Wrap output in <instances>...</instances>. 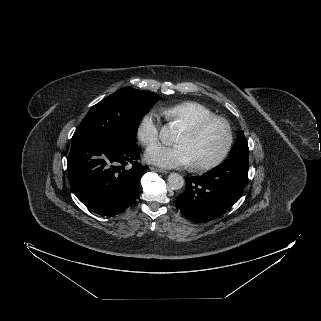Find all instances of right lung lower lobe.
I'll list each match as a JSON object with an SVG mask.
<instances>
[{
    "instance_id": "obj_1",
    "label": "right lung lower lobe",
    "mask_w": 321,
    "mask_h": 321,
    "mask_svg": "<svg viewBox=\"0 0 321 321\" xmlns=\"http://www.w3.org/2000/svg\"><path fill=\"white\" fill-rule=\"evenodd\" d=\"M136 143L79 139L72 141L67 168L78 199L93 212L114 216L136 198L147 166L136 159ZM128 164H132L128 168Z\"/></svg>"
}]
</instances>
